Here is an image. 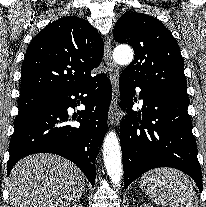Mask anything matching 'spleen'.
<instances>
[{"label":"spleen","instance_id":"1","mask_svg":"<svg viewBox=\"0 0 206 207\" xmlns=\"http://www.w3.org/2000/svg\"><path fill=\"white\" fill-rule=\"evenodd\" d=\"M140 184L156 204L168 207H198L197 195L191 181L178 170H151L141 177Z\"/></svg>","mask_w":206,"mask_h":207}]
</instances>
